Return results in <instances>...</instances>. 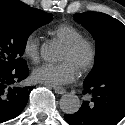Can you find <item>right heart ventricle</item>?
Listing matches in <instances>:
<instances>
[{"label": "right heart ventricle", "mask_w": 125, "mask_h": 125, "mask_svg": "<svg viewBox=\"0 0 125 125\" xmlns=\"http://www.w3.org/2000/svg\"><path fill=\"white\" fill-rule=\"evenodd\" d=\"M53 33L64 44L72 42L75 39L82 37V33L72 25L60 24L54 30Z\"/></svg>", "instance_id": "right-heart-ventricle-1"}]
</instances>
